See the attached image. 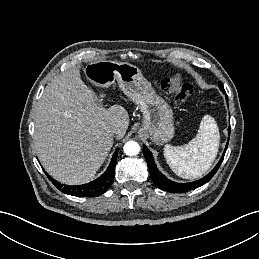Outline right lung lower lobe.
<instances>
[{
    "instance_id": "obj_1",
    "label": "right lung lower lobe",
    "mask_w": 259,
    "mask_h": 259,
    "mask_svg": "<svg viewBox=\"0 0 259 259\" xmlns=\"http://www.w3.org/2000/svg\"><path fill=\"white\" fill-rule=\"evenodd\" d=\"M119 149H116L114 155L112 157L111 163L106 170V172L101 175L98 179L90 182L88 184L78 185V186H69L65 184H61L51 176H49L45 170V174L51 180V182L63 193L78 196V197H96L103 194L110 185L113 183L115 166H116V158L117 152Z\"/></svg>"
}]
</instances>
